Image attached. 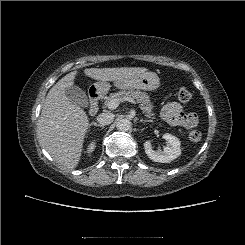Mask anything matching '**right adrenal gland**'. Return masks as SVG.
<instances>
[{
    "instance_id": "1",
    "label": "right adrenal gland",
    "mask_w": 245,
    "mask_h": 245,
    "mask_svg": "<svg viewBox=\"0 0 245 245\" xmlns=\"http://www.w3.org/2000/svg\"><path fill=\"white\" fill-rule=\"evenodd\" d=\"M91 125H94V126H96V127H101V128H104V126H103V125L98 124L97 122H92V123H91Z\"/></svg>"
}]
</instances>
